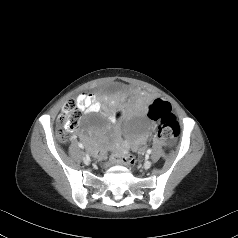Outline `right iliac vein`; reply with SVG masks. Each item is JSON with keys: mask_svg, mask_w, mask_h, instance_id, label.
<instances>
[{"mask_svg": "<svg viewBox=\"0 0 238 238\" xmlns=\"http://www.w3.org/2000/svg\"><path fill=\"white\" fill-rule=\"evenodd\" d=\"M82 161H83L84 165H86V166L90 165V162H88L86 158H82Z\"/></svg>", "mask_w": 238, "mask_h": 238, "instance_id": "1", "label": "right iliac vein"}]
</instances>
